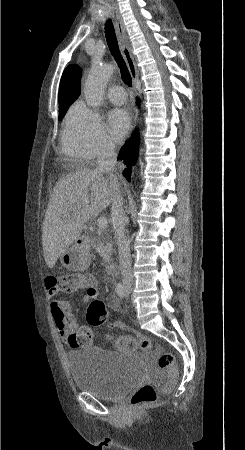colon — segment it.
<instances>
[{
	"mask_svg": "<svg viewBox=\"0 0 245 450\" xmlns=\"http://www.w3.org/2000/svg\"><path fill=\"white\" fill-rule=\"evenodd\" d=\"M88 277L80 272H69L49 281V284L54 285L59 291H68L74 287L82 285ZM109 315L105 303L101 300H95L90 302L87 311V321L92 326L103 325L108 322ZM93 333L89 328H79L72 334V339L78 346L88 345L93 340ZM108 340H112L111 336H107ZM115 342L119 349L130 350L134 347H138L141 350L152 349V342L150 338L137 335L133 336H120L115 339ZM158 366L166 373V382L163 385V390L169 392L176 381L177 369L175 366V360L172 353L162 352L158 355ZM157 400V394L154 387L150 384L141 385L133 394L130 400L131 407L137 411L142 406L155 403Z\"/></svg>",
	"mask_w": 245,
	"mask_h": 450,
	"instance_id": "colon-1",
	"label": "colon"
}]
</instances>
